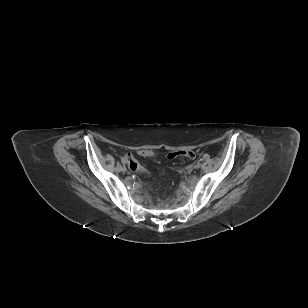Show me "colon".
Returning a JSON list of instances; mask_svg holds the SVG:
<instances>
[{
  "instance_id": "5ec220e1",
  "label": "colon",
  "mask_w": 308,
  "mask_h": 308,
  "mask_svg": "<svg viewBox=\"0 0 308 308\" xmlns=\"http://www.w3.org/2000/svg\"><path fill=\"white\" fill-rule=\"evenodd\" d=\"M138 154L142 157H151L153 156V151L151 150H140L138 152ZM194 156V153L192 151H177V152H171L168 154V158L169 159H175L177 157H188V158H191ZM123 161L124 162H129V168L132 170V171H135V172H141V173H144L146 172V168L140 164L138 161H136L135 159H133L130 155H126L124 158H123Z\"/></svg>"
}]
</instances>
